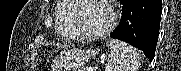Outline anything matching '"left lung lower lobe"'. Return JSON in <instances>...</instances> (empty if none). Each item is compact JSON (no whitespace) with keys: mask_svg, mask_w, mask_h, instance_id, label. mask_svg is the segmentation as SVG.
Returning <instances> with one entry per match:
<instances>
[{"mask_svg":"<svg viewBox=\"0 0 181 71\" xmlns=\"http://www.w3.org/2000/svg\"><path fill=\"white\" fill-rule=\"evenodd\" d=\"M120 25L111 37L142 50L152 61L158 41L162 0H121Z\"/></svg>","mask_w":181,"mask_h":71,"instance_id":"obj_1","label":"left lung lower lobe"}]
</instances>
